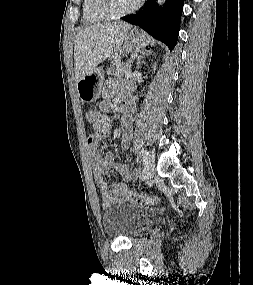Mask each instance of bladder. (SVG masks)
I'll return each mask as SVG.
<instances>
[{"instance_id":"31cf9c89","label":"bladder","mask_w":253,"mask_h":285,"mask_svg":"<svg viewBox=\"0 0 253 285\" xmlns=\"http://www.w3.org/2000/svg\"><path fill=\"white\" fill-rule=\"evenodd\" d=\"M159 219L155 210L132 204L108 208L102 216L104 232L114 238H133Z\"/></svg>"}]
</instances>
